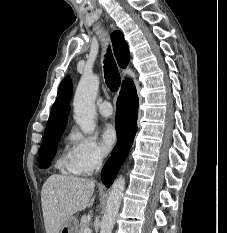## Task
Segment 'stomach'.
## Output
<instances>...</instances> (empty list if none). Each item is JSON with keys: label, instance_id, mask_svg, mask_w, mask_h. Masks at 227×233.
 <instances>
[{"label": "stomach", "instance_id": "obj_1", "mask_svg": "<svg viewBox=\"0 0 227 233\" xmlns=\"http://www.w3.org/2000/svg\"><path fill=\"white\" fill-rule=\"evenodd\" d=\"M78 220L75 216H71L62 226L59 233H78Z\"/></svg>", "mask_w": 227, "mask_h": 233}]
</instances>
